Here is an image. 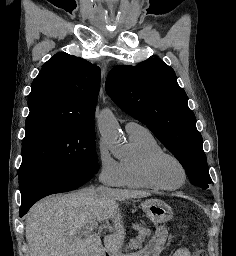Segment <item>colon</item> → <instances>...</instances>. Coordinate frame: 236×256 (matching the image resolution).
<instances>
[{
    "label": "colon",
    "instance_id": "5ec220e1",
    "mask_svg": "<svg viewBox=\"0 0 236 256\" xmlns=\"http://www.w3.org/2000/svg\"><path fill=\"white\" fill-rule=\"evenodd\" d=\"M192 256H205L202 250L196 249L193 253Z\"/></svg>",
    "mask_w": 236,
    "mask_h": 256
}]
</instances>
